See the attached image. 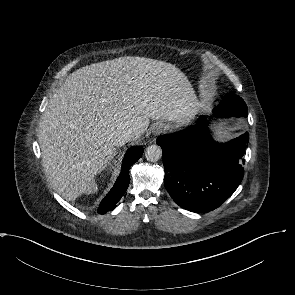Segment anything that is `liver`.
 Returning a JSON list of instances; mask_svg holds the SVG:
<instances>
[{
    "mask_svg": "<svg viewBox=\"0 0 295 295\" xmlns=\"http://www.w3.org/2000/svg\"><path fill=\"white\" fill-rule=\"evenodd\" d=\"M205 108L170 63L124 56L82 67L51 96L39 123L48 178L67 201L94 193L95 176L114 158L124 130H135L137 141L150 119L185 124Z\"/></svg>",
    "mask_w": 295,
    "mask_h": 295,
    "instance_id": "obj_1",
    "label": "liver"
}]
</instances>
